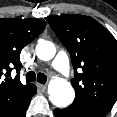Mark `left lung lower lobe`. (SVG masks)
<instances>
[{
    "mask_svg": "<svg viewBox=\"0 0 117 117\" xmlns=\"http://www.w3.org/2000/svg\"><path fill=\"white\" fill-rule=\"evenodd\" d=\"M107 113V110L74 103L65 109L54 110L56 117H105Z\"/></svg>",
    "mask_w": 117,
    "mask_h": 117,
    "instance_id": "left-lung-lower-lobe-1",
    "label": "left lung lower lobe"
}]
</instances>
